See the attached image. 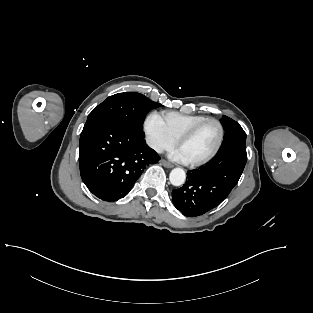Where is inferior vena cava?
Here are the masks:
<instances>
[{"instance_id":"inferior-vena-cava-1","label":"inferior vena cava","mask_w":313,"mask_h":313,"mask_svg":"<svg viewBox=\"0 0 313 313\" xmlns=\"http://www.w3.org/2000/svg\"><path fill=\"white\" fill-rule=\"evenodd\" d=\"M151 146L155 149L156 152H158V153L163 152V148L159 144H151Z\"/></svg>"}]
</instances>
